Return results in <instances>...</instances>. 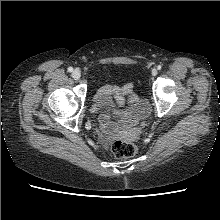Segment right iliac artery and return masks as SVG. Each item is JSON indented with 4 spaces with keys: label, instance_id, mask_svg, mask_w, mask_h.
<instances>
[{
    "label": "right iliac artery",
    "instance_id": "right-iliac-artery-1",
    "mask_svg": "<svg viewBox=\"0 0 220 220\" xmlns=\"http://www.w3.org/2000/svg\"><path fill=\"white\" fill-rule=\"evenodd\" d=\"M68 71H69V72H72V71H73V68H72V67H69V68H68Z\"/></svg>",
    "mask_w": 220,
    "mask_h": 220
}]
</instances>
